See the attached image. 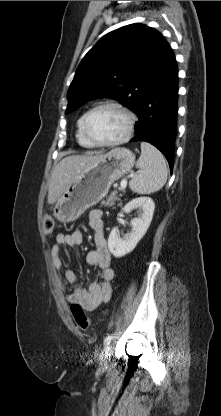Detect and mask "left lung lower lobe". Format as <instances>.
Segmentation results:
<instances>
[{"instance_id": "0a47b994", "label": "left lung lower lobe", "mask_w": 221, "mask_h": 416, "mask_svg": "<svg viewBox=\"0 0 221 416\" xmlns=\"http://www.w3.org/2000/svg\"><path fill=\"white\" fill-rule=\"evenodd\" d=\"M178 70L175 56L167 43L154 79L138 106L135 137L130 142L146 141L157 147L173 169L178 114Z\"/></svg>"}]
</instances>
